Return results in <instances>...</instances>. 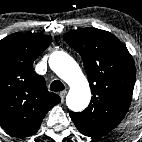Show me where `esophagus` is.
<instances>
[{"mask_svg": "<svg viewBox=\"0 0 142 142\" xmlns=\"http://www.w3.org/2000/svg\"><path fill=\"white\" fill-rule=\"evenodd\" d=\"M66 94H67V91H62L59 93V96H60L62 102L64 101Z\"/></svg>", "mask_w": 142, "mask_h": 142, "instance_id": "1", "label": "esophagus"}]
</instances>
